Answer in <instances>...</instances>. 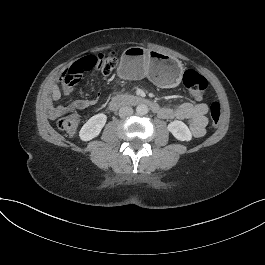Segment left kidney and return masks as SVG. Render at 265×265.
<instances>
[{
  "label": "left kidney",
  "instance_id": "left-kidney-1",
  "mask_svg": "<svg viewBox=\"0 0 265 265\" xmlns=\"http://www.w3.org/2000/svg\"><path fill=\"white\" fill-rule=\"evenodd\" d=\"M168 130L180 141H190L192 134L185 123L175 120L168 125Z\"/></svg>",
  "mask_w": 265,
  "mask_h": 265
}]
</instances>
